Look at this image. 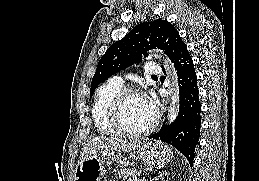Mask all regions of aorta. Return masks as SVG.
<instances>
[{"label": "aorta", "instance_id": "obj_1", "mask_svg": "<svg viewBox=\"0 0 259 181\" xmlns=\"http://www.w3.org/2000/svg\"><path fill=\"white\" fill-rule=\"evenodd\" d=\"M164 67L167 71V74L170 75L171 79V94L169 98V108H168V120L169 123L173 122L176 118L178 105H179V91H178V81L176 71L173 64L169 59H164Z\"/></svg>", "mask_w": 259, "mask_h": 181}]
</instances>
